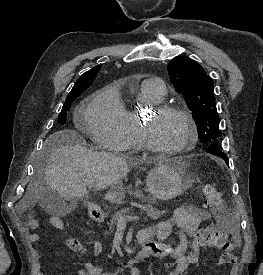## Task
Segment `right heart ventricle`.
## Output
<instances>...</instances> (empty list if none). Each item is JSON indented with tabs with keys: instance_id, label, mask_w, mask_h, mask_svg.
<instances>
[{
	"instance_id": "obj_1",
	"label": "right heart ventricle",
	"mask_w": 263,
	"mask_h": 275,
	"mask_svg": "<svg viewBox=\"0 0 263 275\" xmlns=\"http://www.w3.org/2000/svg\"><path fill=\"white\" fill-rule=\"evenodd\" d=\"M137 99L141 105H153L159 103L162 98H158L152 88L142 84L138 91ZM121 119L126 134L125 149H141L144 144L140 135V117L137 108H129L121 104Z\"/></svg>"
}]
</instances>
